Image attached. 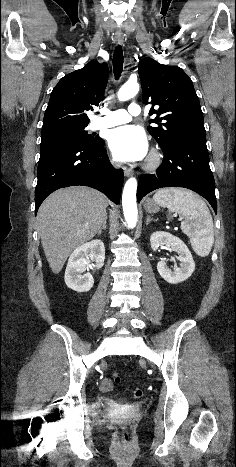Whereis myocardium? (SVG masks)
<instances>
[{"label": "myocardium", "mask_w": 236, "mask_h": 467, "mask_svg": "<svg viewBox=\"0 0 236 467\" xmlns=\"http://www.w3.org/2000/svg\"><path fill=\"white\" fill-rule=\"evenodd\" d=\"M162 162V156L159 151L153 150L147 160L146 168L148 170L157 169Z\"/></svg>", "instance_id": "f54148a6"}]
</instances>
